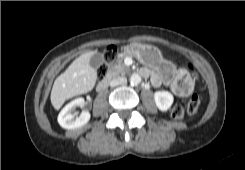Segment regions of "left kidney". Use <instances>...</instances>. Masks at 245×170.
I'll list each match as a JSON object with an SVG mask.
<instances>
[{
    "mask_svg": "<svg viewBox=\"0 0 245 170\" xmlns=\"http://www.w3.org/2000/svg\"><path fill=\"white\" fill-rule=\"evenodd\" d=\"M156 106L161 111H167L173 104V95L168 91H156L154 93Z\"/></svg>",
    "mask_w": 245,
    "mask_h": 170,
    "instance_id": "left-kidney-1",
    "label": "left kidney"
}]
</instances>
